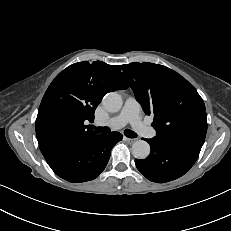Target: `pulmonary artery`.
<instances>
[{
  "label": "pulmonary artery",
  "mask_w": 231,
  "mask_h": 231,
  "mask_svg": "<svg viewBox=\"0 0 231 231\" xmlns=\"http://www.w3.org/2000/svg\"><path fill=\"white\" fill-rule=\"evenodd\" d=\"M140 112L141 109L138 102L133 97H129L125 100L121 111L116 116L112 117L107 125L116 129L130 123L131 126L143 137H155L156 130L142 121ZM97 125H101V123H97Z\"/></svg>",
  "instance_id": "e3ab8cb5"
}]
</instances>
